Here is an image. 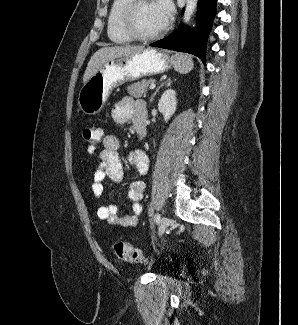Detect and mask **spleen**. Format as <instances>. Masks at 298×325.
Instances as JSON below:
<instances>
[{
	"mask_svg": "<svg viewBox=\"0 0 298 325\" xmlns=\"http://www.w3.org/2000/svg\"><path fill=\"white\" fill-rule=\"evenodd\" d=\"M183 54H174L172 56L173 58V64L175 70H178V72H183V74H186V72H189V70H192L193 68V60L190 58V56H187V62H181Z\"/></svg>",
	"mask_w": 298,
	"mask_h": 325,
	"instance_id": "3e777b00",
	"label": "spleen"
}]
</instances>
